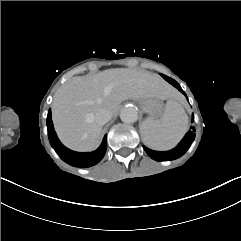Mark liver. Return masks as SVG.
<instances>
[{"mask_svg": "<svg viewBox=\"0 0 241 241\" xmlns=\"http://www.w3.org/2000/svg\"><path fill=\"white\" fill-rule=\"evenodd\" d=\"M171 99L168 84L157 74L129 69H112L95 75L75 76L53 97L52 110L61 140L76 150H88L99 143L102 126L85 117L104 109L116 116L128 99Z\"/></svg>", "mask_w": 241, "mask_h": 241, "instance_id": "liver-1", "label": "liver"}]
</instances>
